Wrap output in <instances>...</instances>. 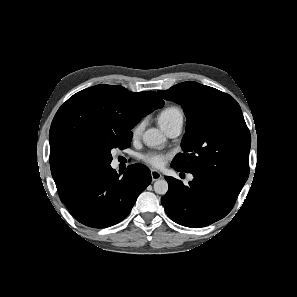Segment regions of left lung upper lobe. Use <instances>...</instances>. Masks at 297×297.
<instances>
[{
  "mask_svg": "<svg viewBox=\"0 0 297 297\" xmlns=\"http://www.w3.org/2000/svg\"><path fill=\"white\" fill-rule=\"evenodd\" d=\"M158 92L180 104L187 118L183 152L171 165L239 194L249 176L251 136L237 101L194 81Z\"/></svg>",
  "mask_w": 297,
  "mask_h": 297,
  "instance_id": "1",
  "label": "left lung upper lobe"
}]
</instances>
